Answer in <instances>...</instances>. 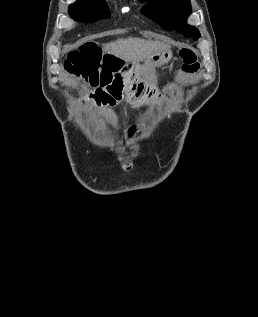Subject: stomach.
Masks as SVG:
<instances>
[{"instance_id": "0dacf381", "label": "stomach", "mask_w": 258, "mask_h": 317, "mask_svg": "<svg viewBox=\"0 0 258 317\" xmlns=\"http://www.w3.org/2000/svg\"><path fill=\"white\" fill-rule=\"evenodd\" d=\"M173 56L172 50H160L158 54H153L150 62V66H145V64H138V62H127L126 68H134L135 76L139 82H146L145 72L146 68H152L155 64H165L169 62Z\"/></svg>"}]
</instances>
